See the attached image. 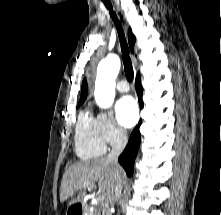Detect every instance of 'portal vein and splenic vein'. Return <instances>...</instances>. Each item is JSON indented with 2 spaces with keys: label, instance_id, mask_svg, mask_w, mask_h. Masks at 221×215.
I'll use <instances>...</instances> for the list:
<instances>
[{
  "label": "portal vein and splenic vein",
  "instance_id": "18ae733b",
  "mask_svg": "<svg viewBox=\"0 0 221 215\" xmlns=\"http://www.w3.org/2000/svg\"><path fill=\"white\" fill-rule=\"evenodd\" d=\"M88 186L90 189L93 188V185H91V184H89ZM99 199H102V197H99Z\"/></svg>",
  "mask_w": 221,
  "mask_h": 215
}]
</instances>
